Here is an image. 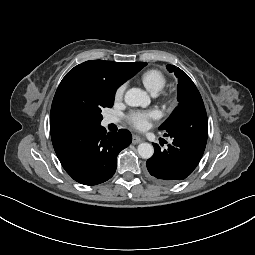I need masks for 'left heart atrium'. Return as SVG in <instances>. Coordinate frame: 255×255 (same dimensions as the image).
I'll list each match as a JSON object with an SVG mask.
<instances>
[{
    "mask_svg": "<svg viewBox=\"0 0 255 255\" xmlns=\"http://www.w3.org/2000/svg\"><path fill=\"white\" fill-rule=\"evenodd\" d=\"M157 116L155 111H133L128 115V121L136 129L145 130L150 126L151 120Z\"/></svg>",
    "mask_w": 255,
    "mask_h": 255,
    "instance_id": "left-heart-atrium-1",
    "label": "left heart atrium"
}]
</instances>
